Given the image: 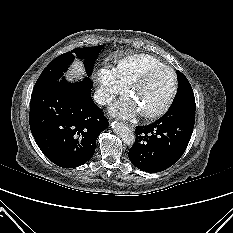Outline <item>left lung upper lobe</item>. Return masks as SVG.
<instances>
[{
	"label": "left lung upper lobe",
	"instance_id": "obj_1",
	"mask_svg": "<svg viewBox=\"0 0 233 233\" xmlns=\"http://www.w3.org/2000/svg\"><path fill=\"white\" fill-rule=\"evenodd\" d=\"M179 91L166 112L170 115L195 116V97L188 79L180 71H177Z\"/></svg>",
	"mask_w": 233,
	"mask_h": 233
}]
</instances>
